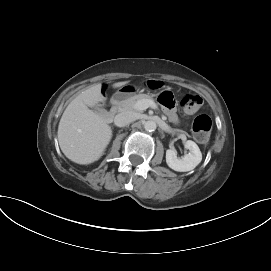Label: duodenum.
<instances>
[{
  "instance_id": "obj_1",
  "label": "duodenum",
  "mask_w": 271,
  "mask_h": 271,
  "mask_svg": "<svg viewBox=\"0 0 271 271\" xmlns=\"http://www.w3.org/2000/svg\"><path fill=\"white\" fill-rule=\"evenodd\" d=\"M124 95L123 94H116L111 101V107L109 111L107 112V118L109 120L113 119L115 114L117 113L118 107L123 100Z\"/></svg>"
}]
</instances>
